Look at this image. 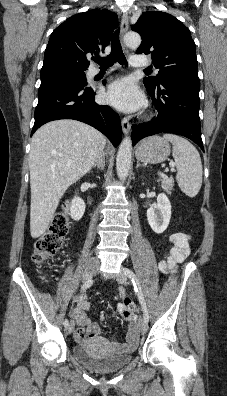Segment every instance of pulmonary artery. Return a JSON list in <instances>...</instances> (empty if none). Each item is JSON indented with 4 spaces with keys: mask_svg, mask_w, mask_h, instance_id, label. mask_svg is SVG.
<instances>
[{
    "mask_svg": "<svg viewBox=\"0 0 227 396\" xmlns=\"http://www.w3.org/2000/svg\"><path fill=\"white\" fill-rule=\"evenodd\" d=\"M130 64L133 67H143V66H147L149 65V62L146 58L142 57V56H138V55H134L130 58ZM99 70L98 69H93L90 74L91 76H96L99 74Z\"/></svg>",
    "mask_w": 227,
    "mask_h": 396,
    "instance_id": "obj_1",
    "label": "pulmonary artery"
}]
</instances>
